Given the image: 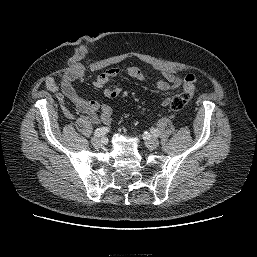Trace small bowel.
Wrapping results in <instances>:
<instances>
[{
    "label": "small bowel",
    "mask_w": 257,
    "mask_h": 257,
    "mask_svg": "<svg viewBox=\"0 0 257 257\" xmlns=\"http://www.w3.org/2000/svg\"><path fill=\"white\" fill-rule=\"evenodd\" d=\"M159 72L162 75V78L158 81L157 85L162 91H168L180 87L187 89L195 86L196 78L192 74H188L184 78H181L171 70L163 69ZM120 73L121 70L119 68H110L97 76L93 82V86L98 89L104 88L111 79L118 77ZM125 73L128 77L133 79L140 81L145 79L144 72L136 66L127 67L125 69ZM81 76L82 72L71 70L61 77L59 85L56 84L54 78H47L46 86L55 94L67 118H73V114L67 108L66 100L70 101L81 114L89 118L93 123H103L105 125L110 124L112 110L109 106L101 105L99 102L94 100H87L80 96L75 90L73 82ZM121 91L122 89L120 87H106L103 93L106 98L115 99L120 95ZM169 103V98H165L162 101L163 106H167Z\"/></svg>",
    "instance_id": "c3829d8e"
}]
</instances>
